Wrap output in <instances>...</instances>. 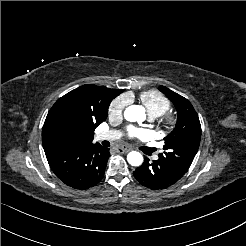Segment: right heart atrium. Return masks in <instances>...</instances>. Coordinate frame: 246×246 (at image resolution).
Listing matches in <instances>:
<instances>
[{
    "label": "right heart atrium",
    "mask_w": 246,
    "mask_h": 246,
    "mask_svg": "<svg viewBox=\"0 0 246 246\" xmlns=\"http://www.w3.org/2000/svg\"><path fill=\"white\" fill-rule=\"evenodd\" d=\"M130 103V98L126 94L116 97L109 105L108 115L110 119H119L123 116L125 109Z\"/></svg>",
    "instance_id": "obj_1"
}]
</instances>
